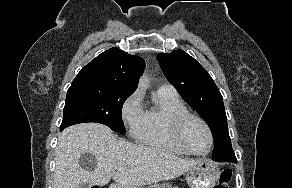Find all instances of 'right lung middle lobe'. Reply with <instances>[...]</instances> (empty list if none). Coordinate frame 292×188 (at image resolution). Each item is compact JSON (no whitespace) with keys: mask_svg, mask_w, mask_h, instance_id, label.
Listing matches in <instances>:
<instances>
[{"mask_svg":"<svg viewBox=\"0 0 292 188\" xmlns=\"http://www.w3.org/2000/svg\"><path fill=\"white\" fill-rule=\"evenodd\" d=\"M133 93L99 83H72L67 91L60 130L83 122H97L117 133H126L122 106Z\"/></svg>","mask_w":292,"mask_h":188,"instance_id":"dd1d6c3e","label":"right lung middle lobe"}]
</instances>
